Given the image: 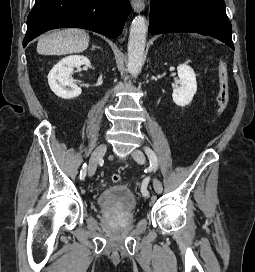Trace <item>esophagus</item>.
<instances>
[{"label": "esophagus", "instance_id": "esophagus-1", "mask_svg": "<svg viewBox=\"0 0 255 272\" xmlns=\"http://www.w3.org/2000/svg\"><path fill=\"white\" fill-rule=\"evenodd\" d=\"M132 8L135 12L140 13L145 8V3L142 0H132Z\"/></svg>", "mask_w": 255, "mask_h": 272}]
</instances>
